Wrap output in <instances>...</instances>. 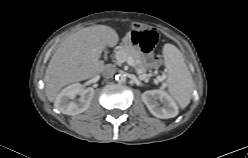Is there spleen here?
I'll list each match as a JSON object with an SVG mask.
<instances>
[{
  "instance_id": "obj_1",
  "label": "spleen",
  "mask_w": 248,
  "mask_h": 158,
  "mask_svg": "<svg viewBox=\"0 0 248 158\" xmlns=\"http://www.w3.org/2000/svg\"><path fill=\"white\" fill-rule=\"evenodd\" d=\"M163 56L168 76V92L181 108H185L190 103L194 83L184 57L172 44L164 45Z\"/></svg>"
}]
</instances>
